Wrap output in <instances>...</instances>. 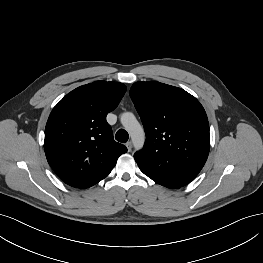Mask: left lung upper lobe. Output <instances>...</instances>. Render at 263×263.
<instances>
[{"mask_svg":"<svg viewBox=\"0 0 263 263\" xmlns=\"http://www.w3.org/2000/svg\"><path fill=\"white\" fill-rule=\"evenodd\" d=\"M129 94L146 133L144 147L134 157L172 161L200 172L210 149L208 118L200 102L160 82H136Z\"/></svg>","mask_w":263,"mask_h":263,"instance_id":"left-lung-upper-lobe-1","label":"left lung upper lobe"}]
</instances>
